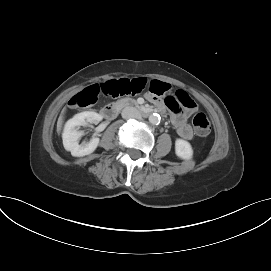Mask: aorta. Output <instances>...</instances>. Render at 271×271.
<instances>
[{
	"label": "aorta",
	"instance_id": "aorta-1",
	"mask_svg": "<svg viewBox=\"0 0 271 271\" xmlns=\"http://www.w3.org/2000/svg\"><path fill=\"white\" fill-rule=\"evenodd\" d=\"M160 115L157 113H153L149 116V122L153 125H157L160 123Z\"/></svg>",
	"mask_w": 271,
	"mask_h": 271
}]
</instances>
